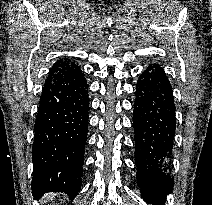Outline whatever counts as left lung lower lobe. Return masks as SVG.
<instances>
[{"instance_id":"obj_1","label":"left lung lower lobe","mask_w":212,"mask_h":205,"mask_svg":"<svg viewBox=\"0 0 212 205\" xmlns=\"http://www.w3.org/2000/svg\"><path fill=\"white\" fill-rule=\"evenodd\" d=\"M135 96L133 127L138 184L145 201L164 205L173 188L168 159L176 118L172 87L163 68L149 65L138 79Z\"/></svg>"}]
</instances>
